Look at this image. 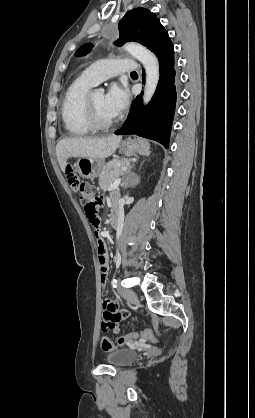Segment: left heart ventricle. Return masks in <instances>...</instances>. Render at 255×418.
<instances>
[{
	"label": "left heart ventricle",
	"instance_id": "obj_1",
	"mask_svg": "<svg viewBox=\"0 0 255 418\" xmlns=\"http://www.w3.org/2000/svg\"><path fill=\"white\" fill-rule=\"evenodd\" d=\"M92 101L98 118L101 121L107 122L113 118L107 113L104 107V94L100 92H93Z\"/></svg>",
	"mask_w": 255,
	"mask_h": 418
}]
</instances>
